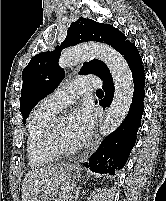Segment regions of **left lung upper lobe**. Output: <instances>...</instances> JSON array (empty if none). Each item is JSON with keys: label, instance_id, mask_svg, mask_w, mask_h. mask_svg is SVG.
Returning <instances> with one entry per match:
<instances>
[{"label": "left lung upper lobe", "instance_id": "5c2ea615", "mask_svg": "<svg viewBox=\"0 0 166 201\" xmlns=\"http://www.w3.org/2000/svg\"><path fill=\"white\" fill-rule=\"evenodd\" d=\"M85 41L106 43L121 54L131 44L129 40H126L125 35L112 25L100 24L86 18H79L71 23L61 46H56L54 51L35 55L23 70L20 111L24 124L34 106L53 92L64 78V70L58 66L61 50ZM80 74H95L102 79L110 72L104 62L92 60L84 63Z\"/></svg>", "mask_w": 166, "mask_h": 201}]
</instances>
